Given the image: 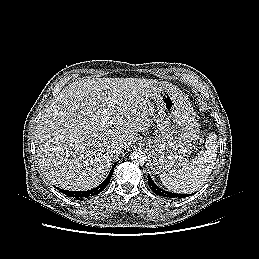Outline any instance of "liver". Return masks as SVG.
Listing matches in <instances>:
<instances>
[{"mask_svg": "<svg viewBox=\"0 0 259 259\" xmlns=\"http://www.w3.org/2000/svg\"><path fill=\"white\" fill-rule=\"evenodd\" d=\"M156 84L144 78H93L66 86L44 110L35 131L38 165L46 179L67 190L98 186L108 175L113 153L128 150L138 132L150 128L147 104ZM113 143L121 144L117 152L110 148Z\"/></svg>", "mask_w": 259, "mask_h": 259, "instance_id": "liver-1", "label": "liver"}]
</instances>
